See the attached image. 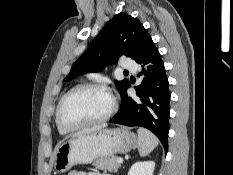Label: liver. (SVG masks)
Masks as SVG:
<instances>
[{
  "label": "liver",
  "mask_w": 233,
  "mask_h": 175,
  "mask_svg": "<svg viewBox=\"0 0 233 175\" xmlns=\"http://www.w3.org/2000/svg\"><path fill=\"white\" fill-rule=\"evenodd\" d=\"M107 125L106 124H103V125H100V126H95V127H92V128H87V129H84L82 131H79L77 133H75L73 137H76V136H80V135H83V134H87V133H91V132H94V131H97V130H100V129H103L105 128Z\"/></svg>",
  "instance_id": "liver-1"
}]
</instances>
